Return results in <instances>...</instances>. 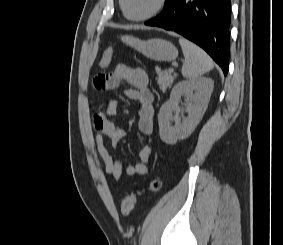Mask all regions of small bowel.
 Returning a JSON list of instances; mask_svg holds the SVG:
<instances>
[{"mask_svg": "<svg viewBox=\"0 0 283 245\" xmlns=\"http://www.w3.org/2000/svg\"><path fill=\"white\" fill-rule=\"evenodd\" d=\"M122 83L130 86L125 90L126 97L139 105V130L150 137L154 130L155 111L154 96L148 88L147 74L140 68L119 64L114 71L97 74L93 79V87L99 91L117 89ZM117 109L118 102L112 98L107 103L106 112H98L93 118V125L97 131L95 144L104 161L105 173L114 179H119L123 172L127 175H145L152 155V147L149 144L141 148L138 163L125 166L106 146V140H109L112 147H117L125 136L124 130L111 119L116 115Z\"/></svg>", "mask_w": 283, "mask_h": 245, "instance_id": "c3829d8e", "label": "small bowel"}]
</instances>
